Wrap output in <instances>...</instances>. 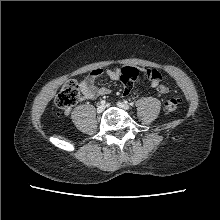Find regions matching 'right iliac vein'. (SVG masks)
I'll use <instances>...</instances> for the list:
<instances>
[{
    "instance_id": "63e3f726",
    "label": "right iliac vein",
    "mask_w": 220,
    "mask_h": 220,
    "mask_svg": "<svg viewBox=\"0 0 220 220\" xmlns=\"http://www.w3.org/2000/svg\"><path fill=\"white\" fill-rule=\"evenodd\" d=\"M104 109H105V106L101 104V105L97 106L96 111H97V113H102L104 111Z\"/></svg>"
}]
</instances>
